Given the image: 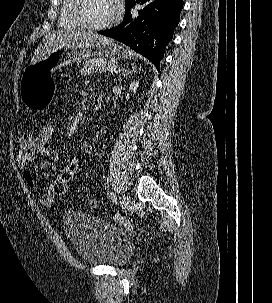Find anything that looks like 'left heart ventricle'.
<instances>
[{"label": "left heart ventricle", "mask_w": 272, "mask_h": 303, "mask_svg": "<svg viewBox=\"0 0 272 303\" xmlns=\"http://www.w3.org/2000/svg\"><path fill=\"white\" fill-rule=\"evenodd\" d=\"M84 18L92 24H103L115 15L113 0H85L82 9Z\"/></svg>", "instance_id": "obj_1"}]
</instances>
